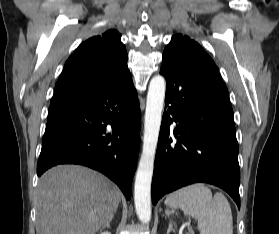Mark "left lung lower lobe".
<instances>
[{"label": "left lung lower lobe", "instance_id": "left-lung-lower-lobe-1", "mask_svg": "<svg viewBox=\"0 0 279 234\" xmlns=\"http://www.w3.org/2000/svg\"><path fill=\"white\" fill-rule=\"evenodd\" d=\"M160 74L167 87L152 179L153 204L166 193L205 182L224 189L240 208L239 148L228 90L219 72L164 52Z\"/></svg>", "mask_w": 279, "mask_h": 234}]
</instances>
